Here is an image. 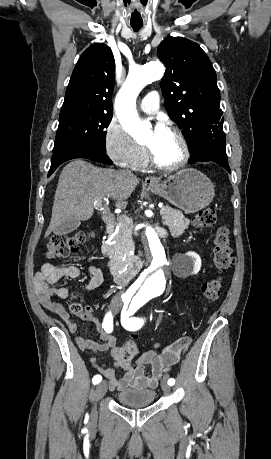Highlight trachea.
<instances>
[{
    "label": "trachea",
    "instance_id": "trachea-1",
    "mask_svg": "<svg viewBox=\"0 0 271 459\" xmlns=\"http://www.w3.org/2000/svg\"><path fill=\"white\" fill-rule=\"evenodd\" d=\"M143 25H131V27L134 29L135 32H138L140 28H142Z\"/></svg>",
    "mask_w": 271,
    "mask_h": 459
}]
</instances>
